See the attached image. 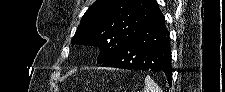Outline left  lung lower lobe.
Wrapping results in <instances>:
<instances>
[{
	"label": "left lung lower lobe",
	"mask_w": 225,
	"mask_h": 92,
	"mask_svg": "<svg viewBox=\"0 0 225 92\" xmlns=\"http://www.w3.org/2000/svg\"><path fill=\"white\" fill-rule=\"evenodd\" d=\"M102 67L163 71L169 84L172 81L169 32L164 15L159 12L103 63Z\"/></svg>",
	"instance_id": "obj_1"
}]
</instances>
